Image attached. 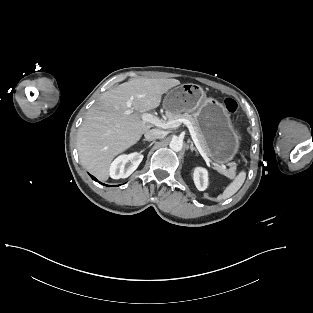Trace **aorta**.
Wrapping results in <instances>:
<instances>
[{
	"instance_id": "obj_1",
	"label": "aorta",
	"mask_w": 313,
	"mask_h": 313,
	"mask_svg": "<svg viewBox=\"0 0 313 313\" xmlns=\"http://www.w3.org/2000/svg\"><path fill=\"white\" fill-rule=\"evenodd\" d=\"M170 148L173 150V151H180L183 147V140L179 137H174L172 138V140L170 141V144H169Z\"/></svg>"
}]
</instances>
